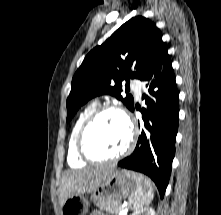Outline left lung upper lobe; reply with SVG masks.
<instances>
[{
	"label": "left lung upper lobe",
	"instance_id": "left-lung-upper-lobe-1",
	"mask_svg": "<svg viewBox=\"0 0 221 215\" xmlns=\"http://www.w3.org/2000/svg\"><path fill=\"white\" fill-rule=\"evenodd\" d=\"M163 46L160 30L148 18L136 16L125 22L87 54L74 74L67 99V122L83 104L102 94L115 96L131 110L134 99L121 96L122 83L141 79Z\"/></svg>",
	"mask_w": 221,
	"mask_h": 215
}]
</instances>
